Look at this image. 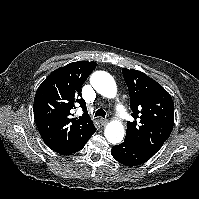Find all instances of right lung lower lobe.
<instances>
[{"instance_id":"obj_1","label":"right lung lower lobe","mask_w":199,"mask_h":199,"mask_svg":"<svg viewBox=\"0 0 199 199\" xmlns=\"http://www.w3.org/2000/svg\"><path fill=\"white\" fill-rule=\"evenodd\" d=\"M95 131H96V128L91 132V134L87 138L73 145H70V146L52 145L48 147L59 154L70 155L72 153H75L81 150Z\"/></svg>"}]
</instances>
